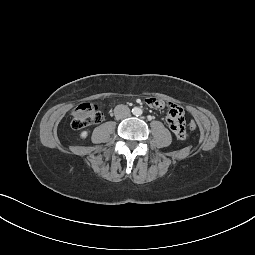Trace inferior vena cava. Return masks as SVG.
<instances>
[{
  "label": "inferior vena cava",
  "instance_id": "602c4592",
  "mask_svg": "<svg viewBox=\"0 0 255 255\" xmlns=\"http://www.w3.org/2000/svg\"><path fill=\"white\" fill-rule=\"evenodd\" d=\"M114 114L116 118L123 119L130 116V109L128 106L120 104L115 107Z\"/></svg>",
  "mask_w": 255,
  "mask_h": 255
}]
</instances>
